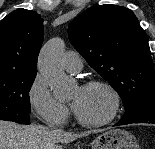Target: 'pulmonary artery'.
<instances>
[{"label":"pulmonary artery","mask_w":155,"mask_h":149,"mask_svg":"<svg viewBox=\"0 0 155 149\" xmlns=\"http://www.w3.org/2000/svg\"><path fill=\"white\" fill-rule=\"evenodd\" d=\"M63 66L68 72H79L82 69V58L77 52H66L63 58Z\"/></svg>","instance_id":"1"}]
</instances>
